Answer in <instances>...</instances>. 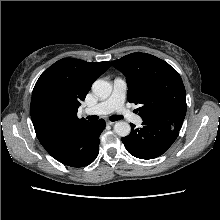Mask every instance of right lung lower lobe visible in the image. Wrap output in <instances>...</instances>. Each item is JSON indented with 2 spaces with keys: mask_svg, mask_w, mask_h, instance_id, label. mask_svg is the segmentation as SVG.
<instances>
[{
  "mask_svg": "<svg viewBox=\"0 0 220 220\" xmlns=\"http://www.w3.org/2000/svg\"><path fill=\"white\" fill-rule=\"evenodd\" d=\"M104 127L105 121L102 119L81 126L60 149L50 155L71 167L89 165L99 153V135Z\"/></svg>",
  "mask_w": 220,
  "mask_h": 220,
  "instance_id": "right-lung-lower-lobe-1",
  "label": "right lung lower lobe"
}]
</instances>
